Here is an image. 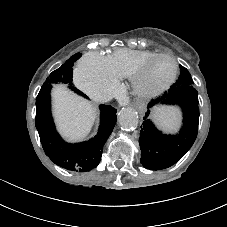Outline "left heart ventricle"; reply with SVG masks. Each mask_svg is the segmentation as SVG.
Segmentation results:
<instances>
[{
  "mask_svg": "<svg viewBox=\"0 0 227 227\" xmlns=\"http://www.w3.org/2000/svg\"><path fill=\"white\" fill-rule=\"evenodd\" d=\"M171 73V62L167 59H159L150 67L148 82L150 84L163 83L170 77Z\"/></svg>",
  "mask_w": 227,
  "mask_h": 227,
  "instance_id": "left-heart-ventricle-1",
  "label": "left heart ventricle"
}]
</instances>
